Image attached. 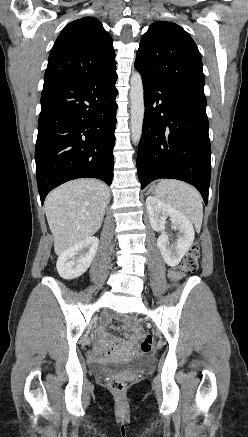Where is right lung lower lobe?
<instances>
[{
    "label": "right lung lower lobe",
    "mask_w": 248,
    "mask_h": 437,
    "mask_svg": "<svg viewBox=\"0 0 248 437\" xmlns=\"http://www.w3.org/2000/svg\"><path fill=\"white\" fill-rule=\"evenodd\" d=\"M116 68L88 80L45 82L35 148L41 203L60 184L113 179Z\"/></svg>",
    "instance_id": "1"
}]
</instances>
